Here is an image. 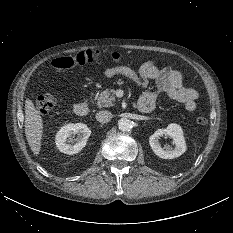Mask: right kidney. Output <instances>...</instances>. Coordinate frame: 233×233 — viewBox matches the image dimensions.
<instances>
[{"label":"right kidney","mask_w":233,"mask_h":233,"mask_svg":"<svg viewBox=\"0 0 233 233\" xmlns=\"http://www.w3.org/2000/svg\"><path fill=\"white\" fill-rule=\"evenodd\" d=\"M77 134L78 137L75 139V144H71L73 139L72 135ZM91 134V130L86 124L76 123L67 124L59 129L55 136V142L57 148L65 154H76L85 147L87 140Z\"/></svg>","instance_id":"1"}]
</instances>
